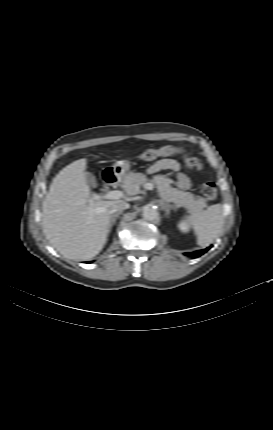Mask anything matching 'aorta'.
<instances>
[{
    "instance_id": "1",
    "label": "aorta",
    "mask_w": 273,
    "mask_h": 430,
    "mask_svg": "<svg viewBox=\"0 0 273 430\" xmlns=\"http://www.w3.org/2000/svg\"><path fill=\"white\" fill-rule=\"evenodd\" d=\"M158 217V211L155 206L147 205L143 209V218L148 221H153Z\"/></svg>"
}]
</instances>
